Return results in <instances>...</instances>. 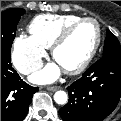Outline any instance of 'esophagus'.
<instances>
[{
	"instance_id": "1",
	"label": "esophagus",
	"mask_w": 121,
	"mask_h": 121,
	"mask_svg": "<svg viewBox=\"0 0 121 121\" xmlns=\"http://www.w3.org/2000/svg\"><path fill=\"white\" fill-rule=\"evenodd\" d=\"M47 89L49 91H56V90L60 89V87L59 86H49V87H47Z\"/></svg>"
}]
</instances>
